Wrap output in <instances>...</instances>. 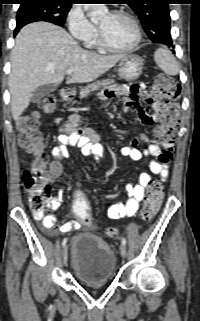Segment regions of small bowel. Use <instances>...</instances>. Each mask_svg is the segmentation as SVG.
Masks as SVG:
<instances>
[{
  "instance_id": "c3829d8e",
  "label": "small bowel",
  "mask_w": 200,
  "mask_h": 321,
  "mask_svg": "<svg viewBox=\"0 0 200 321\" xmlns=\"http://www.w3.org/2000/svg\"><path fill=\"white\" fill-rule=\"evenodd\" d=\"M146 83L131 82L128 86L112 88L105 93L108 98H113L116 95L124 97L127 108H134L137 111L139 120L146 126H151L165 116L164 106L156 101L150 102L152 113L148 107L142 106L138 98L145 96ZM157 140L149 138L145 134H141L137 139H134L129 145L121 148L120 152L123 156L137 161L143 157H151L149 170L152 174L158 175L160 181L164 182L168 179L170 159H166L167 145L162 142L157 136V127L154 130ZM100 135L90 128L76 129L75 120L66 124L63 132L57 137V143L52 149L51 155L55 159L53 164L57 168V173L52 179H56L62 172L60 161L65 157L64 147L66 145L72 147H79L82 154L85 156H98L103 154L101 145L99 144ZM146 144V148L140 150L137 148L138 141ZM150 173L143 172L139 175L136 183H130L126 186L127 200L125 203H115L108 207L107 216L110 219H120L123 217H131L136 214L140 202L144 199L145 191L149 188L152 182ZM63 190H59L56 195L48 199V207L52 210H57L62 202ZM41 220L44 231L52 235L57 231L68 232L76 230L80 227V223L75 220H70L57 226V219L54 215H47L45 217H38Z\"/></svg>"
}]
</instances>
